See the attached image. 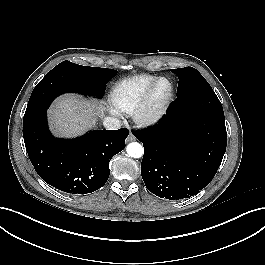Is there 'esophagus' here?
Segmentation results:
<instances>
[{
  "mask_svg": "<svg viewBox=\"0 0 265 265\" xmlns=\"http://www.w3.org/2000/svg\"><path fill=\"white\" fill-rule=\"evenodd\" d=\"M135 140V137L133 134H129L128 137H127V142H130V141H134Z\"/></svg>",
  "mask_w": 265,
  "mask_h": 265,
  "instance_id": "34e87169",
  "label": "esophagus"
}]
</instances>
